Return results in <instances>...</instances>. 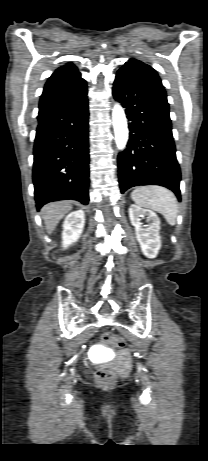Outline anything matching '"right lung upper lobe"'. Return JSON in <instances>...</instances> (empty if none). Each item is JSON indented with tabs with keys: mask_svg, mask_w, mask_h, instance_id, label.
Returning a JSON list of instances; mask_svg holds the SVG:
<instances>
[{
	"mask_svg": "<svg viewBox=\"0 0 208 461\" xmlns=\"http://www.w3.org/2000/svg\"><path fill=\"white\" fill-rule=\"evenodd\" d=\"M86 92V81L78 68L69 62L48 78L40 98L39 113L77 101Z\"/></svg>",
	"mask_w": 208,
	"mask_h": 461,
	"instance_id": "right-lung-upper-lobe-1",
	"label": "right lung upper lobe"
}]
</instances>
